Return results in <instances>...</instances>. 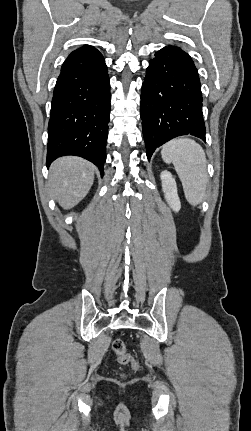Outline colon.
<instances>
[{"mask_svg": "<svg viewBox=\"0 0 251 431\" xmlns=\"http://www.w3.org/2000/svg\"><path fill=\"white\" fill-rule=\"evenodd\" d=\"M112 349L116 354L117 361L121 365H131L136 367L137 363L132 354L127 350L124 341L121 338H115L112 341Z\"/></svg>", "mask_w": 251, "mask_h": 431, "instance_id": "colon-1", "label": "colon"}]
</instances>
